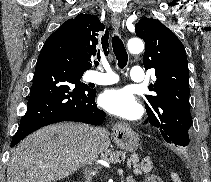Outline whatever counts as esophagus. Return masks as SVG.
Returning <instances> with one entry per match:
<instances>
[{
	"label": "esophagus",
	"instance_id": "34e87169",
	"mask_svg": "<svg viewBox=\"0 0 211 182\" xmlns=\"http://www.w3.org/2000/svg\"><path fill=\"white\" fill-rule=\"evenodd\" d=\"M111 23H112V26L115 30H118L120 28V25H121V19H120V16L117 14V13H114L111 17ZM113 129L115 131H120V130H123L125 129V126L120 124V123H117L114 125Z\"/></svg>",
	"mask_w": 211,
	"mask_h": 182
}]
</instances>
